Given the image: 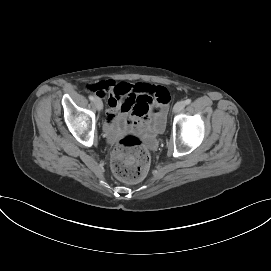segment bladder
Masks as SVG:
<instances>
[{
	"instance_id": "1",
	"label": "bladder",
	"mask_w": 271,
	"mask_h": 271,
	"mask_svg": "<svg viewBox=\"0 0 271 271\" xmlns=\"http://www.w3.org/2000/svg\"><path fill=\"white\" fill-rule=\"evenodd\" d=\"M162 127H163V126H160V127L157 129V130H159V131H160V130L162 129Z\"/></svg>"
}]
</instances>
